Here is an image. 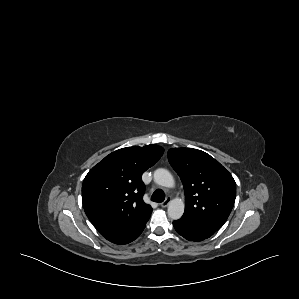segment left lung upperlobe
Wrapping results in <instances>:
<instances>
[{
	"mask_svg": "<svg viewBox=\"0 0 299 299\" xmlns=\"http://www.w3.org/2000/svg\"><path fill=\"white\" fill-rule=\"evenodd\" d=\"M168 160L184 186L182 218L212 232L219 230L236 198L232 175L209 154L197 149L171 148Z\"/></svg>",
	"mask_w": 299,
	"mask_h": 299,
	"instance_id": "5c2ea615",
	"label": "left lung upper lobe"
}]
</instances>
